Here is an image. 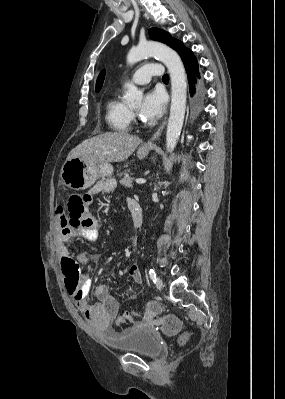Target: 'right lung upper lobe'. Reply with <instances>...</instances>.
Wrapping results in <instances>:
<instances>
[{
	"instance_id": "cb5924a9",
	"label": "right lung upper lobe",
	"mask_w": 285,
	"mask_h": 399,
	"mask_svg": "<svg viewBox=\"0 0 285 399\" xmlns=\"http://www.w3.org/2000/svg\"><path fill=\"white\" fill-rule=\"evenodd\" d=\"M104 77H105V71H102V72L99 74L98 78H97V82H96V92H98V91L101 89L102 84H103V81H104Z\"/></svg>"
}]
</instances>
